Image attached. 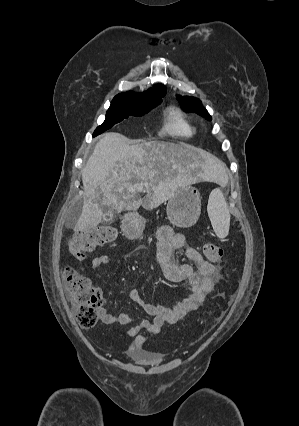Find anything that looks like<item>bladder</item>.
I'll list each match as a JSON object with an SVG mask.
<instances>
[{"label": "bladder", "instance_id": "31cf9c89", "mask_svg": "<svg viewBox=\"0 0 299 426\" xmlns=\"http://www.w3.org/2000/svg\"><path fill=\"white\" fill-rule=\"evenodd\" d=\"M147 362H155V361H147Z\"/></svg>", "mask_w": 299, "mask_h": 426}]
</instances>
